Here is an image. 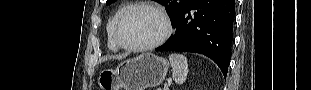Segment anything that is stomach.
Here are the masks:
<instances>
[{
    "label": "stomach",
    "mask_w": 311,
    "mask_h": 90,
    "mask_svg": "<svg viewBox=\"0 0 311 90\" xmlns=\"http://www.w3.org/2000/svg\"><path fill=\"white\" fill-rule=\"evenodd\" d=\"M169 69V62L151 53L121 62L116 69H104L98 74L101 90H145L160 85Z\"/></svg>",
    "instance_id": "0dacf381"
}]
</instances>
